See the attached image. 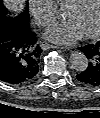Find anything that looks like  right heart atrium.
Segmentation results:
<instances>
[{"instance_id": "right-heart-atrium-1", "label": "right heart atrium", "mask_w": 100, "mask_h": 118, "mask_svg": "<svg viewBox=\"0 0 100 118\" xmlns=\"http://www.w3.org/2000/svg\"><path fill=\"white\" fill-rule=\"evenodd\" d=\"M28 6L34 22L40 27L48 25L57 16L54 0H28Z\"/></svg>"}]
</instances>
